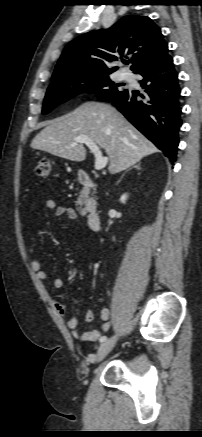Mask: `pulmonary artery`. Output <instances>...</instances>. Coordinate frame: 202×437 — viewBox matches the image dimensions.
<instances>
[{
  "mask_svg": "<svg viewBox=\"0 0 202 437\" xmlns=\"http://www.w3.org/2000/svg\"><path fill=\"white\" fill-rule=\"evenodd\" d=\"M127 77H128V75H127L126 73H122V74H121V78H122V79H127Z\"/></svg>",
  "mask_w": 202,
  "mask_h": 437,
  "instance_id": "1",
  "label": "pulmonary artery"
}]
</instances>
